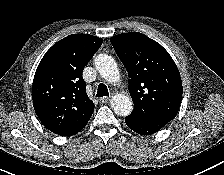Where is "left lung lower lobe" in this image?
Returning a JSON list of instances; mask_svg holds the SVG:
<instances>
[{"instance_id": "left-lung-lower-lobe-1", "label": "left lung lower lobe", "mask_w": 224, "mask_h": 175, "mask_svg": "<svg viewBox=\"0 0 224 175\" xmlns=\"http://www.w3.org/2000/svg\"><path fill=\"white\" fill-rule=\"evenodd\" d=\"M125 123L130 129L141 135H151L167 124L164 121H143L128 116L125 118Z\"/></svg>"}]
</instances>
